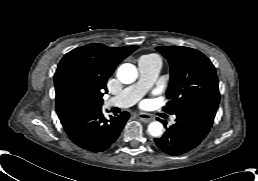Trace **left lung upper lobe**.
<instances>
[{
  "label": "left lung upper lobe",
  "instance_id": "5c2ea615",
  "mask_svg": "<svg viewBox=\"0 0 258 181\" xmlns=\"http://www.w3.org/2000/svg\"><path fill=\"white\" fill-rule=\"evenodd\" d=\"M170 64V83L164 110L169 114L208 112L216 114L220 94L218 78L211 61L198 50L182 47H157Z\"/></svg>",
  "mask_w": 258,
  "mask_h": 181
}]
</instances>
